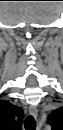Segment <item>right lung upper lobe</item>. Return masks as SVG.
<instances>
[{"label":"right lung upper lobe","instance_id":"obj_1","mask_svg":"<svg viewBox=\"0 0 63 130\" xmlns=\"http://www.w3.org/2000/svg\"><path fill=\"white\" fill-rule=\"evenodd\" d=\"M15 115L20 119L23 117L21 107L15 106L7 100L0 102V122L2 126L7 127V130H20L21 123L15 121Z\"/></svg>","mask_w":63,"mask_h":130}]
</instances>
